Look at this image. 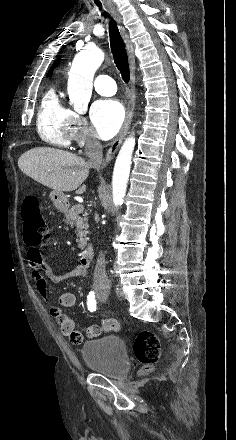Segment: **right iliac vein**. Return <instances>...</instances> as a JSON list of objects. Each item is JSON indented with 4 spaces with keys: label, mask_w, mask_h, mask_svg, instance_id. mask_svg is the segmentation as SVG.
Wrapping results in <instances>:
<instances>
[{
    "label": "right iliac vein",
    "mask_w": 236,
    "mask_h": 440,
    "mask_svg": "<svg viewBox=\"0 0 236 440\" xmlns=\"http://www.w3.org/2000/svg\"><path fill=\"white\" fill-rule=\"evenodd\" d=\"M99 296L101 299L106 300V299H108L109 294L107 292H101V293H99Z\"/></svg>",
    "instance_id": "63e3f726"
}]
</instances>
